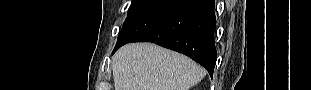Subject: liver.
I'll return each mask as SVG.
<instances>
[{"instance_id": "obj_1", "label": "liver", "mask_w": 311, "mask_h": 90, "mask_svg": "<svg viewBox=\"0 0 311 90\" xmlns=\"http://www.w3.org/2000/svg\"><path fill=\"white\" fill-rule=\"evenodd\" d=\"M115 90H188L205 75L193 60L151 43H132L112 58Z\"/></svg>"}]
</instances>
